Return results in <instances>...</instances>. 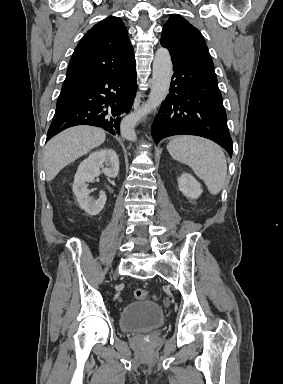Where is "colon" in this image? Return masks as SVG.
<instances>
[{
	"mask_svg": "<svg viewBox=\"0 0 283 384\" xmlns=\"http://www.w3.org/2000/svg\"><path fill=\"white\" fill-rule=\"evenodd\" d=\"M134 297L137 300H145V299L149 298L150 295L146 290L139 288V289H136L134 291Z\"/></svg>",
	"mask_w": 283,
	"mask_h": 384,
	"instance_id": "obj_1",
	"label": "colon"
}]
</instances>
